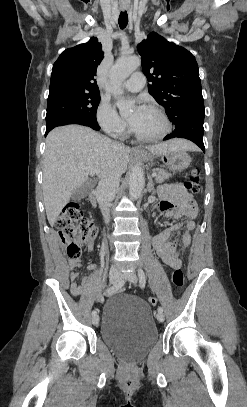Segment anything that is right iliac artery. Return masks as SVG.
I'll return each instance as SVG.
<instances>
[{"mask_svg": "<svg viewBox=\"0 0 247 407\" xmlns=\"http://www.w3.org/2000/svg\"><path fill=\"white\" fill-rule=\"evenodd\" d=\"M124 284H125V280L119 281L118 283H116V284H114L113 286L109 287V288L106 290V294H107V295H111V294H113V293H116L117 291H119V290L124 286ZM92 315H93V316L97 315V311H96V310H93V311H92Z\"/></svg>", "mask_w": 247, "mask_h": 407, "instance_id": "1", "label": "right iliac artery"}]
</instances>
